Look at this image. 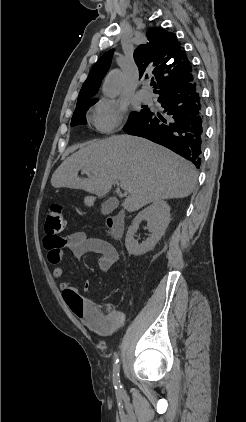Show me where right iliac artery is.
Segmentation results:
<instances>
[{
  "label": "right iliac artery",
  "mask_w": 246,
  "mask_h": 422,
  "mask_svg": "<svg viewBox=\"0 0 246 422\" xmlns=\"http://www.w3.org/2000/svg\"><path fill=\"white\" fill-rule=\"evenodd\" d=\"M113 382H114L115 388L120 391L122 389V386L119 380V358L117 356H116V359L114 361V366H113Z\"/></svg>",
  "instance_id": "right-iliac-artery-1"
}]
</instances>
